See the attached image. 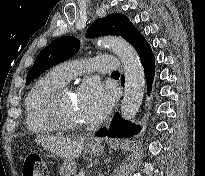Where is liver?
Instances as JSON below:
<instances>
[{"instance_id":"1","label":"liver","mask_w":205,"mask_h":176,"mask_svg":"<svg viewBox=\"0 0 205 176\" xmlns=\"http://www.w3.org/2000/svg\"><path fill=\"white\" fill-rule=\"evenodd\" d=\"M84 141L85 138L71 140L55 136H41L36 138V142L41 144L45 149L65 159L79 157L83 151Z\"/></svg>"}]
</instances>
